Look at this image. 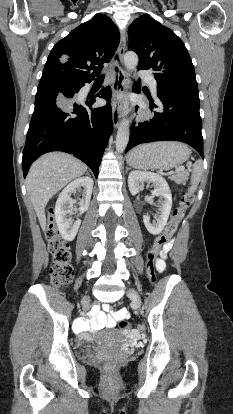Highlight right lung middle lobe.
Instances as JSON below:
<instances>
[{
	"instance_id": "1",
	"label": "right lung middle lobe",
	"mask_w": 233,
	"mask_h": 414,
	"mask_svg": "<svg viewBox=\"0 0 233 414\" xmlns=\"http://www.w3.org/2000/svg\"><path fill=\"white\" fill-rule=\"evenodd\" d=\"M84 83L64 79H44L40 80L38 90L54 89L60 92H68L80 88Z\"/></svg>"
}]
</instances>
